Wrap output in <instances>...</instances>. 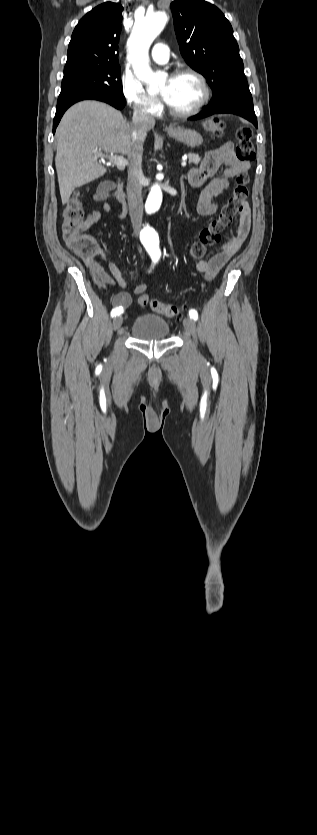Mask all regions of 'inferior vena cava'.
Segmentation results:
<instances>
[{"label": "inferior vena cava", "mask_w": 317, "mask_h": 835, "mask_svg": "<svg viewBox=\"0 0 317 835\" xmlns=\"http://www.w3.org/2000/svg\"><path fill=\"white\" fill-rule=\"evenodd\" d=\"M155 125V119L140 106L134 107L132 119V140L135 143L133 151L129 155L130 167L128 170L127 200L129 215L135 235L139 234L143 217L142 172L143 143L147 132Z\"/></svg>", "instance_id": "inferior-vena-cava-1"}]
</instances>
